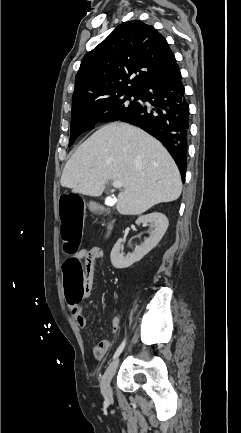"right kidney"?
Returning <instances> with one entry per match:
<instances>
[{"label":"right kidney","instance_id":"1","mask_svg":"<svg viewBox=\"0 0 241 433\" xmlns=\"http://www.w3.org/2000/svg\"><path fill=\"white\" fill-rule=\"evenodd\" d=\"M154 230L151 232L149 238H146L144 242L135 248V250L124 256L121 252L123 240L120 238L114 245L110 258L112 265L117 269H124L130 267L135 262L141 260L146 254H148L162 239L164 236L169 222L167 217L160 212H153L140 216L136 220V224H147Z\"/></svg>","mask_w":241,"mask_h":433}]
</instances>
